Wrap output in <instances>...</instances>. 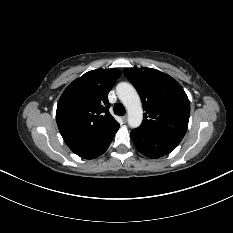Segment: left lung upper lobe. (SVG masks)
Returning a JSON list of instances; mask_svg holds the SVG:
<instances>
[{
    "label": "left lung upper lobe",
    "instance_id": "obj_1",
    "mask_svg": "<svg viewBox=\"0 0 233 233\" xmlns=\"http://www.w3.org/2000/svg\"><path fill=\"white\" fill-rule=\"evenodd\" d=\"M123 72L142 99L145 113L138 129L182 140L188 127L190 104L181 85L152 68H126Z\"/></svg>",
    "mask_w": 233,
    "mask_h": 233
}]
</instances>
